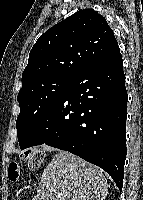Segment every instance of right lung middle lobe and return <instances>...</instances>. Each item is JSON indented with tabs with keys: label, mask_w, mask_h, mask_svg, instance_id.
<instances>
[{
	"label": "right lung middle lobe",
	"mask_w": 143,
	"mask_h": 200,
	"mask_svg": "<svg viewBox=\"0 0 143 200\" xmlns=\"http://www.w3.org/2000/svg\"><path fill=\"white\" fill-rule=\"evenodd\" d=\"M71 79V77L53 76L21 88L17 97L20 114L16 120L20 149H25L32 132L61 97Z\"/></svg>",
	"instance_id": "1"
}]
</instances>
